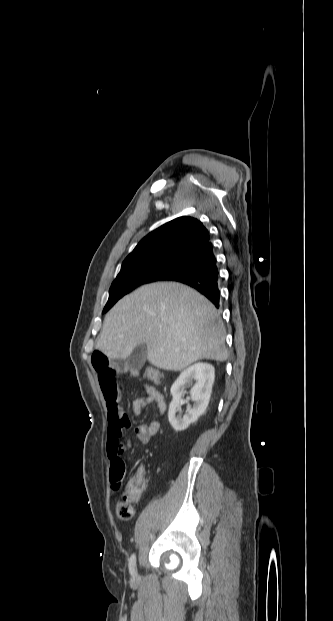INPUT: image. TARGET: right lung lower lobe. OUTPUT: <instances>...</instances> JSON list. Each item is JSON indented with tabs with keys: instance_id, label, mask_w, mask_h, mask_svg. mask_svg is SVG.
Wrapping results in <instances>:
<instances>
[{
	"instance_id": "1",
	"label": "right lung lower lobe",
	"mask_w": 333,
	"mask_h": 621,
	"mask_svg": "<svg viewBox=\"0 0 333 621\" xmlns=\"http://www.w3.org/2000/svg\"><path fill=\"white\" fill-rule=\"evenodd\" d=\"M218 278L217 262L212 243L209 242L185 258L180 266L165 276L163 280L176 281L191 286L206 296L218 308L220 306Z\"/></svg>"
}]
</instances>
